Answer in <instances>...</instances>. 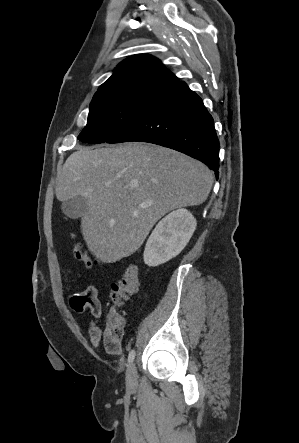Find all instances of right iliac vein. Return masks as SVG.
<instances>
[{
    "instance_id": "right-iliac-vein-1",
    "label": "right iliac vein",
    "mask_w": 299,
    "mask_h": 443,
    "mask_svg": "<svg viewBox=\"0 0 299 443\" xmlns=\"http://www.w3.org/2000/svg\"><path fill=\"white\" fill-rule=\"evenodd\" d=\"M126 385L129 389H134L137 385V370L134 363H131L127 369Z\"/></svg>"
}]
</instances>
